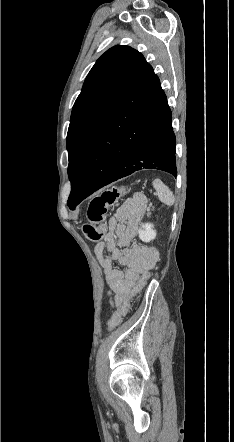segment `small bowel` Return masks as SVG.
<instances>
[{"instance_id": "small-bowel-1", "label": "small bowel", "mask_w": 234, "mask_h": 442, "mask_svg": "<svg viewBox=\"0 0 234 442\" xmlns=\"http://www.w3.org/2000/svg\"><path fill=\"white\" fill-rule=\"evenodd\" d=\"M146 209L147 199L144 195L135 194L128 198L111 217L103 241L94 248L110 287V304L114 308L124 305L138 277L150 271L158 260L153 248L130 246ZM105 249L108 251L106 255ZM115 261L125 266V270L115 268Z\"/></svg>"}]
</instances>
